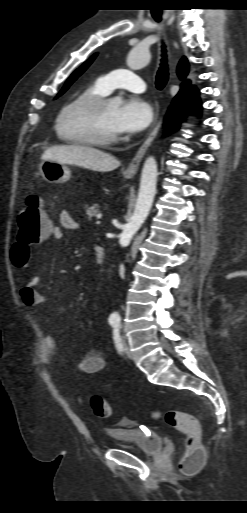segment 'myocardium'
Returning <instances> with one entry per match:
<instances>
[{
    "label": "myocardium",
    "mask_w": 247,
    "mask_h": 513,
    "mask_svg": "<svg viewBox=\"0 0 247 513\" xmlns=\"http://www.w3.org/2000/svg\"><path fill=\"white\" fill-rule=\"evenodd\" d=\"M112 99L107 96L92 95L80 98L66 105L58 115L57 130L77 143L94 146H111L117 143L119 136L103 137L90 133L71 134L65 128V118L70 112H81L89 117H94Z\"/></svg>",
    "instance_id": "1"
}]
</instances>
